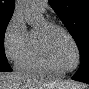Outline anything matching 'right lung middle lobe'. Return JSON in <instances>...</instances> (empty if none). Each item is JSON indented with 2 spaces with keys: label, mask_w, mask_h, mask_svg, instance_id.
<instances>
[{
  "label": "right lung middle lobe",
  "mask_w": 89,
  "mask_h": 89,
  "mask_svg": "<svg viewBox=\"0 0 89 89\" xmlns=\"http://www.w3.org/2000/svg\"><path fill=\"white\" fill-rule=\"evenodd\" d=\"M12 14L13 13L11 12H0V62L7 61L4 52L3 40H4V35H5L7 25L12 17Z\"/></svg>",
  "instance_id": "1"
}]
</instances>
